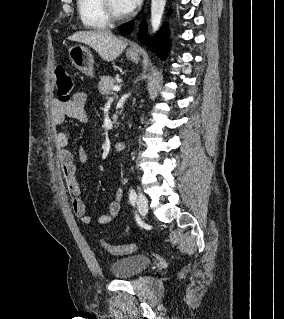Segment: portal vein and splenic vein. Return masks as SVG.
Wrapping results in <instances>:
<instances>
[{
	"label": "portal vein and splenic vein",
	"mask_w": 284,
	"mask_h": 319,
	"mask_svg": "<svg viewBox=\"0 0 284 319\" xmlns=\"http://www.w3.org/2000/svg\"><path fill=\"white\" fill-rule=\"evenodd\" d=\"M120 90H121V87H120V86H114V87H113V91L118 92V91H120ZM109 101H112V98H110Z\"/></svg>",
	"instance_id": "portal-vein-and-splenic-vein-1"
}]
</instances>
